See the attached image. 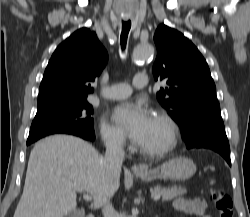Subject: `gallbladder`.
Segmentation results:
<instances>
[{
	"instance_id": "1",
	"label": "gallbladder",
	"mask_w": 250,
	"mask_h": 217,
	"mask_svg": "<svg viewBox=\"0 0 250 217\" xmlns=\"http://www.w3.org/2000/svg\"><path fill=\"white\" fill-rule=\"evenodd\" d=\"M69 217H83V212H73L69 215Z\"/></svg>"
}]
</instances>
